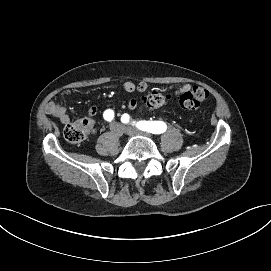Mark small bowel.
I'll return each instance as SVG.
<instances>
[{"mask_svg":"<svg viewBox=\"0 0 271 271\" xmlns=\"http://www.w3.org/2000/svg\"><path fill=\"white\" fill-rule=\"evenodd\" d=\"M125 91L131 93L134 91H139V92H143L146 90L147 85L144 82H140L138 84H135L131 81H127L124 83L123 85ZM192 87L189 84H185L182 87H180L179 89H177L174 92L175 96H179L181 94H183L185 91L190 90ZM127 106L130 109H135L137 107V101L133 98H129L126 101ZM98 112V107L97 106H92L90 107L89 111H88V116L86 118H84L82 121L85 122L88 126V132L91 134H94L96 132V129L94 127V119L93 117L97 114ZM46 113L57 118L62 124H67L69 122V116L67 113V109L56 103V102H49L46 106Z\"/></svg>","mask_w":271,"mask_h":271,"instance_id":"obj_1","label":"small bowel"}]
</instances>
